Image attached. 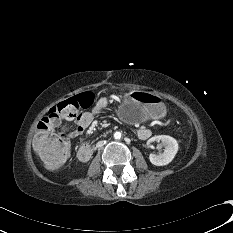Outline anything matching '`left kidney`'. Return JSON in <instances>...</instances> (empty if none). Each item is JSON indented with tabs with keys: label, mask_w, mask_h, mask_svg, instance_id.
I'll use <instances>...</instances> for the list:
<instances>
[{
	"label": "left kidney",
	"mask_w": 233,
	"mask_h": 233,
	"mask_svg": "<svg viewBox=\"0 0 233 233\" xmlns=\"http://www.w3.org/2000/svg\"><path fill=\"white\" fill-rule=\"evenodd\" d=\"M162 142L164 147V151L162 153L150 154L149 160L155 166H164L169 164L175 157L178 151V143L177 141L168 135H158L150 138L147 141V145L149 146L152 142Z\"/></svg>",
	"instance_id": "left-kidney-1"
}]
</instances>
